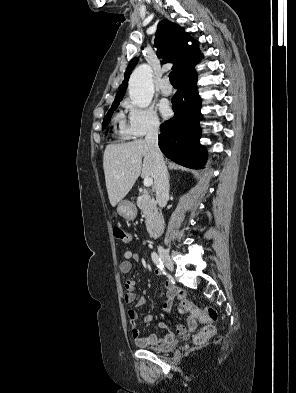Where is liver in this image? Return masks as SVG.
Masks as SVG:
<instances>
[{"mask_svg": "<svg viewBox=\"0 0 296 393\" xmlns=\"http://www.w3.org/2000/svg\"><path fill=\"white\" fill-rule=\"evenodd\" d=\"M103 169L113 207L128 194L140 175L154 178V160L144 139L108 145L104 151Z\"/></svg>", "mask_w": 296, "mask_h": 393, "instance_id": "6515ba94", "label": "liver"}]
</instances>
